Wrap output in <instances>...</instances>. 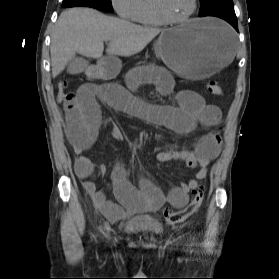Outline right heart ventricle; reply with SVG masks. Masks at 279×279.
Masks as SVG:
<instances>
[{
	"label": "right heart ventricle",
	"instance_id": "e07e8e85",
	"mask_svg": "<svg viewBox=\"0 0 279 279\" xmlns=\"http://www.w3.org/2000/svg\"><path fill=\"white\" fill-rule=\"evenodd\" d=\"M134 21L144 26L164 24L155 11L153 0H139V8Z\"/></svg>",
	"mask_w": 279,
	"mask_h": 279
}]
</instances>
